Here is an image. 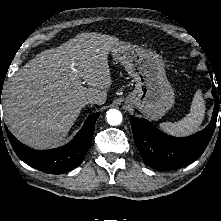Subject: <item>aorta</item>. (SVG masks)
Returning a JSON list of instances; mask_svg holds the SVG:
<instances>
[{"instance_id": "obj_1", "label": "aorta", "mask_w": 221, "mask_h": 221, "mask_svg": "<svg viewBox=\"0 0 221 221\" xmlns=\"http://www.w3.org/2000/svg\"><path fill=\"white\" fill-rule=\"evenodd\" d=\"M107 122L112 125H119L122 122V114L117 109H110L106 114Z\"/></svg>"}]
</instances>
